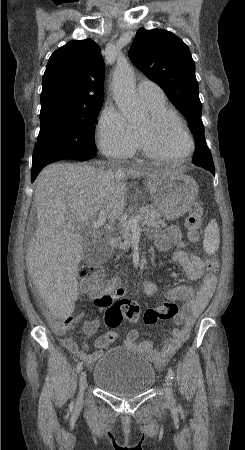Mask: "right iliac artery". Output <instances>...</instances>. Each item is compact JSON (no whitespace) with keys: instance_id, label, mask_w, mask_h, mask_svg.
Here are the masks:
<instances>
[{"instance_id":"82829eb1","label":"right iliac artery","mask_w":245,"mask_h":450,"mask_svg":"<svg viewBox=\"0 0 245 450\" xmlns=\"http://www.w3.org/2000/svg\"><path fill=\"white\" fill-rule=\"evenodd\" d=\"M82 369V363H78L77 367H76V372L79 373ZM73 407V403L71 404V408Z\"/></svg>"}]
</instances>
